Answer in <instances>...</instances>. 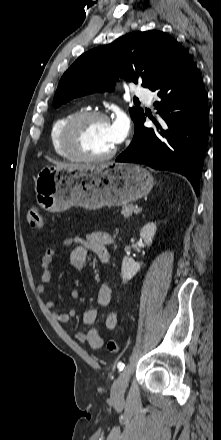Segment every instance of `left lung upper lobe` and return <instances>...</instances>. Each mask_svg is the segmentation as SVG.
Returning a JSON list of instances; mask_svg holds the SVG:
<instances>
[{
  "mask_svg": "<svg viewBox=\"0 0 221 440\" xmlns=\"http://www.w3.org/2000/svg\"><path fill=\"white\" fill-rule=\"evenodd\" d=\"M182 51L179 43L160 31L133 32L109 45L81 55L63 74L54 96L59 107L72 98L93 92L113 91L115 78L142 82L151 88ZM135 126L144 117L141 108L129 109Z\"/></svg>",
  "mask_w": 221,
  "mask_h": 440,
  "instance_id": "obj_1",
  "label": "left lung upper lobe"
}]
</instances>
